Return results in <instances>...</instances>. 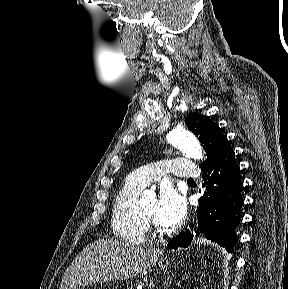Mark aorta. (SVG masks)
<instances>
[{"instance_id": "obj_1", "label": "aorta", "mask_w": 288, "mask_h": 289, "mask_svg": "<svg viewBox=\"0 0 288 289\" xmlns=\"http://www.w3.org/2000/svg\"><path fill=\"white\" fill-rule=\"evenodd\" d=\"M168 143L175 148H178L186 156L195 160H199L203 157L202 148L196 138L190 134L185 128L177 127L172 130L167 136ZM149 199L147 194L143 196L142 204L146 203Z\"/></svg>"}]
</instances>
